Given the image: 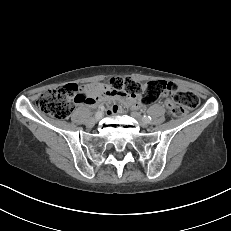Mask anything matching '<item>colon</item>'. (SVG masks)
<instances>
[{"label":"colon","mask_w":231,"mask_h":231,"mask_svg":"<svg viewBox=\"0 0 231 231\" xmlns=\"http://www.w3.org/2000/svg\"><path fill=\"white\" fill-rule=\"evenodd\" d=\"M111 90L128 96L140 95L145 105L156 102L162 96H167L166 107L172 117H179L186 111L198 107L197 96L173 83L162 80L151 81L141 85L128 78H112L109 81ZM82 99V93L76 84H66L60 88L47 90L37 100L38 109L53 118L65 119L72 109L73 103Z\"/></svg>","instance_id":"obj_1"}]
</instances>
